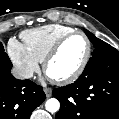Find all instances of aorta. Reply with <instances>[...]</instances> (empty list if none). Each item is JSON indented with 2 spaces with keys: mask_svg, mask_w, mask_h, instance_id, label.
Masks as SVG:
<instances>
[{
  "mask_svg": "<svg viewBox=\"0 0 119 119\" xmlns=\"http://www.w3.org/2000/svg\"><path fill=\"white\" fill-rule=\"evenodd\" d=\"M46 110L54 113L57 112L60 108V103L56 98L48 99L45 103Z\"/></svg>",
  "mask_w": 119,
  "mask_h": 119,
  "instance_id": "1",
  "label": "aorta"
}]
</instances>
